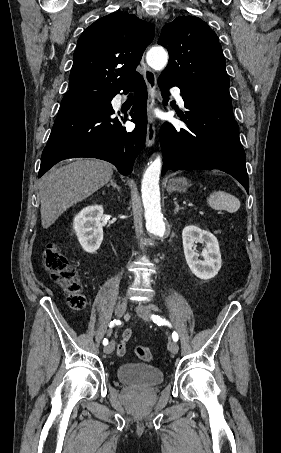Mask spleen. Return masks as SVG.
Returning a JSON list of instances; mask_svg holds the SVG:
<instances>
[{
	"instance_id": "1",
	"label": "spleen",
	"mask_w": 281,
	"mask_h": 453,
	"mask_svg": "<svg viewBox=\"0 0 281 453\" xmlns=\"http://www.w3.org/2000/svg\"><path fill=\"white\" fill-rule=\"evenodd\" d=\"M208 204L215 210H228V212H236L240 208V200L223 190H215L208 198Z\"/></svg>"
}]
</instances>
